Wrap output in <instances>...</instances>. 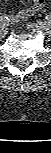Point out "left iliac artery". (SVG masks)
Listing matches in <instances>:
<instances>
[{"mask_svg": "<svg viewBox=\"0 0 51 153\" xmlns=\"http://www.w3.org/2000/svg\"><path fill=\"white\" fill-rule=\"evenodd\" d=\"M45 19H46V21H48L49 24L51 23V15H50V14L47 15V16L45 17Z\"/></svg>", "mask_w": 51, "mask_h": 153, "instance_id": "1", "label": "left iliac artery"}]
</instances>
